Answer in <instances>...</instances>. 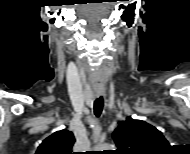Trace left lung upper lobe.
<instances>
[{
    "label": "left lung upper lobe",
    "mask_w": 190,
    "mask_h": 154,
    "mask_svg": "<svg viewBox=\"0 0 190 154\" xmlns=\"http://www.w3.org/2000/svg\"><path fill=\"white\" fill-rule=\"evenodd\" d=\"M118 154H161L169 148L163 134L142 120L127 117L113 133Z\"/></svg>",
    "instance_id": "5c2ea615"
}]
</instances>
